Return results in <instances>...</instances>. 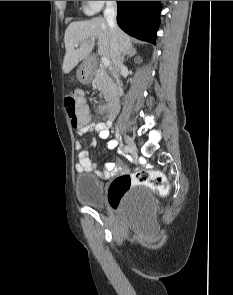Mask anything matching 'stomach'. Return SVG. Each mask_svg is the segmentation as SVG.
Segmentation results:
<instances>
[{
  "mask_svg": "<svg viewBox=\"0 0 233 295\" xmlns=\"http://www.w3.org/2000/svg\"><path fill=\"white\" fill-rule=\"evenodd\" d=\"M77 78L82 83H88L92 79V71L89 65V62H83L78 71H77Z\"/></svg>",
  "mask_w": 233,
  "mask_h": 295,
  "instance_id": "0dacf381",
  "label": "stomach"
}]
</instances>
